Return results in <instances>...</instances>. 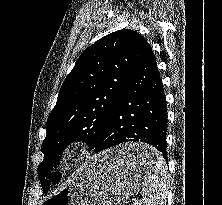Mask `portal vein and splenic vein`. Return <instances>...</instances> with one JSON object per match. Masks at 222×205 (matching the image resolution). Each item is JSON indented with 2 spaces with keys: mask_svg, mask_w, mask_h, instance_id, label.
Returning <instances> with one entry per match:
<instances>
[{
  "mask_svg": "<svg viewBox=\"0 0 222 205\" xmlns=\"http://www.w3.org/2000/svg\"><path fill=\"white\" fill-rule=\"evenodd\" d=\"M132 200L134 201V205H137V199L133 198Z\"/></svg>",
  "mask_w": 222,
  "mask_h": 205,
  "instance_id": "portal-vein-and-splenic-vein-1",
  "label": "portal vein and splenic vein"
}]
</instances>
